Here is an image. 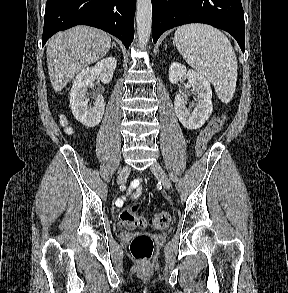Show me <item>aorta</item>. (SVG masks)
Here are the masks:
<instances>
[{
	"mask_svg": "<svg viewBox=\"0 0 288 293\" xmlns=\"http://www.w3.org/2000/svg\"><path fill=\"white\" fill-rule=\"evenodd\" d=\"M136 22L138 43L144 49L149 41L152 27V3L151 0H137Z\"/></svg>",
	"mask_w": 288,
	"mask_h": 293,
	"instance_id": "1",
	"label": "aorta"
}]
</instances>
